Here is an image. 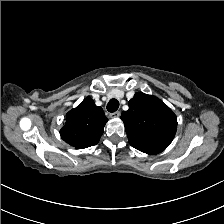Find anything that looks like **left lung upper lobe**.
Here are the masks:
<instances>
[{
	"mask_svg": "<svg viewBox=\"0 0 224 224\" xmlns=\"http://www.w3.org/2000/svg\"><path fill=\"white\" fill-rule=\"evenodd\" d=\"M129 143L147 153L158 154L172 142L177 126V117L159 98L138 92L129 101V110L123 111Z\"/></svg>",
	"mask_w": 224,
	"mask_h": 224,
	"instance_id": "obj_1",
	"label": "left lung upper lobe"
}]
</instances>
